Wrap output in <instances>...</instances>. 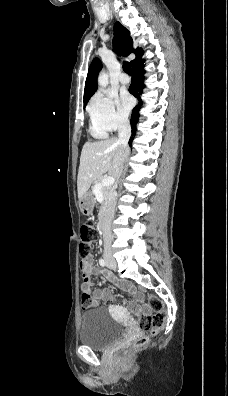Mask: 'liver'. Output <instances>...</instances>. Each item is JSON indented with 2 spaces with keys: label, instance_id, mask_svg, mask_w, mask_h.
<instances>
[{
  "label": "liver",
  "instance_id": "6515ba94",
  "mask_svg": "<svg viewBox=\"0 0 228 396\" xmlns=\"http://www.w3.org/2000/svg\"><path fill=\"white\" fill-rule=\"evenodd\" d=\"M125 158L124 148L115 137L86 142L82 148L78 170V198L80 199L91 184L106 172L112 177H118L119 168Z\"/></svg>",
  "mask_w": 228,
  "mask_h": 396
}]
</instances>
